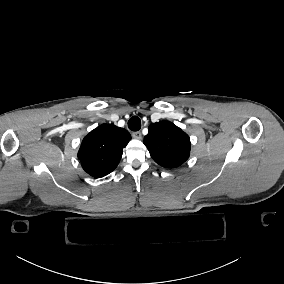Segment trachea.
I'll return each mask as SVG.
<instances>
[{"label": "trachea", "instance_id": "trachea-1", "mask_svg": "<svg viewBox=\"0 0 284 284\" xmlns=\"http://www.w3.org/2000/svg\"><path fill=\"white\" fill-rule=\"evenodd\" d=\"M128 128L131 131H138L141 129V120L137 116H132L128 121Z\"/></svg>", "mask_w": 284, "mask_h": 284}]
</instances>
